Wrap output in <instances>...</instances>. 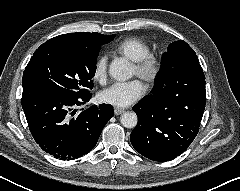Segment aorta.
Returning <instances> with one entry per match:
<instances>
[{"instance_id": "762f6f07", "label": "aorta", "mask_w": 240, "mask_h": 191, "mask_svg": "<svg viewBox=\"0 0 240 191\" xmlns=\"http://www.w3.org/2000/svg\"><path fill=\"white\" fill-rule=\"evenodd\" d=\"M109 75L117 81H126L133 76V68L126 60L116 59L110 65ZM120 120L124 127L134 128L137 125L138 117L135 112H126Z\"/></svg>"}]
</instances>
